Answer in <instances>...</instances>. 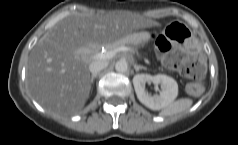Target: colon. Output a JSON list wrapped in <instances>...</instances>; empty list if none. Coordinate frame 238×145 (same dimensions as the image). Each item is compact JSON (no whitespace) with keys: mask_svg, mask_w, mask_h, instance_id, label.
<instances>
[{"mask_svg":"<svg viewBox=\"0 0 238 145\" xmlns=\"http://www.w3.org/2000/svg\"><path fill=\"white\" fill-rule=\"evenodd\" d=\"M155 44L165 66L193 79L188 84L187 91L192 95L200 94L203 90L201 80L206 73L205 58L200 55L187 56L172 50L170 42L164 36H158Z\"/></svg>","mask_w":238,"mask_h":145,"instance_id":"5ec220e1","label":"colon"}]
</instances>
